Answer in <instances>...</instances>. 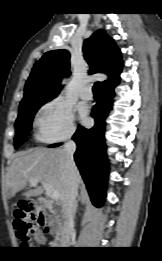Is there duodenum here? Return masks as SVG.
<instances>
[{"mask_svg":"<svg viewBox=\"0 0 162 261\" xmlns=\"http://www.w3.org/2000/svg\"><path fill=\"white\" fill-rule=\"evenodd\" d=\"M40 204L46 206L44 199L39 200ZM45 220L43 227L46 228L47 232L55 235L54 245L57 247L65 246L66 236L69 234V230H63L62 225L56 222L51 216H46L44 212Z\"/></svg>","mask_w":162,"mask_h":261,"instance_id":"obj_1","label":"duodenum"}]
</instances>
